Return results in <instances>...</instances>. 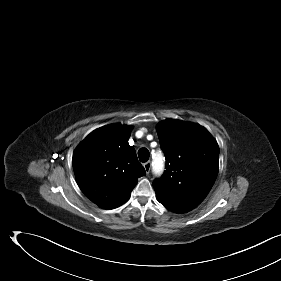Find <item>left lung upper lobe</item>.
Segmentation results:
<instances>
[{
    "label": "left lung upper lobe",
    "mask_w": 281,
    "mask_h": 281,
    "mask_svg": "<svg viewBox=\"0 0 281 281\" xmlns=\"http://www.w3.org/2000/svg\"><path fill=\"white\" fill-rule=\"evenodd\" d=\"M165 152L164 175L153 182L159 202L197 206L212 188L219 165L216 140L201 125L168 119L157 125Z\"/></svg>",
    "instance_id": "5c2ea615"
}]
</instances>
